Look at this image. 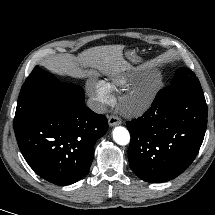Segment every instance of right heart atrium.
<instances>
[{
	"label": "right heart atrium",
	"mask_w": 215,
	"mask_h": 215,
	"mask_svg": "<svg viewBox=\"0 0 215 215\" xmlns=\"http://www.w3.org/2000/svg\"><path fill=\"white\" fill-rule=\"evenodd\" d=\"M88 88L100 105H107L113 101L111 90L105 82L92 80L88 83Z\"/></svg>",
	"instance_id": "1"
}]
</instances>
